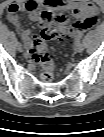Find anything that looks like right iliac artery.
<instances>
[{"instance_id": "1", "label": "right iliac artery", "mask_w": 104, "mask_h": 137, "mask_svg": "<svg viewBox=\"0 0 104 137\" xmlns=\"http://www.w3.org/2000/svg\"><path fill=\"white\" fill-rule=\"evenodd\" d=\"M24 42H25L24 38H21L20 40L16 39V43H18V44L24 45Z\"/></svg>"}]
</instances>
